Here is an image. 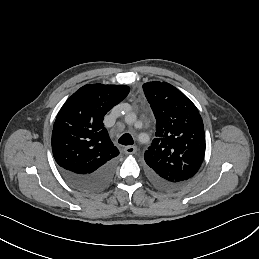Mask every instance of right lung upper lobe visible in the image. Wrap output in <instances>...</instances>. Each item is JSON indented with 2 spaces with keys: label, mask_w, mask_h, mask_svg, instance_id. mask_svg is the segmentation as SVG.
I'll return each mask as SVG.
<instances>
[{
  "label": "right lung upper lobe",
  "mask_w": 259,
  "mask_h": 259,
  "mask_svg": "<svg viewBox=\"0 0 259 259\" xmlns=\"http://www.w3.org/2000/svg\"><path fill=\"white\" fill-rule=\"evenodd\" d=\"M129 90L125 85L90 84L66 101L56 117L51 140L54 159L61 168L91 173L118 156L103 119Z\"/></svg>",
  "instance_id": "1"
}]
</instances>
